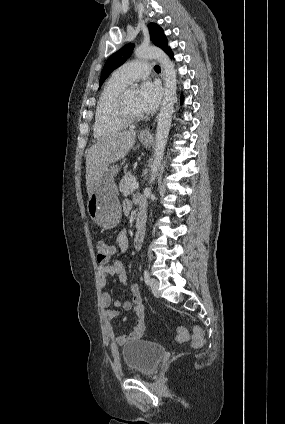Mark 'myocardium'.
I'll use <instances>...</instances> for the list:
<instances>
[{
	"instance_id": "f54148a6",
	"label": "myocardium",
	"mask_w": 285,
	"mask_h": 424,
	"mask_svg": "<svg viewBox=\"0 0 285 424\" xmlns=\"http://www.w3.org/2000/svg\"><path fill=\"white\" fill-rule=\"evenodd\" d=\"M113 116L117 121L121 122L125 126L134 124V123L143 119L142 115L134 116V115L130 114V112L128 111L127 105H126L124 93L120 94V96L118 97V99H117V101L114 105Z\"/></svg>"
}]
</instances>
